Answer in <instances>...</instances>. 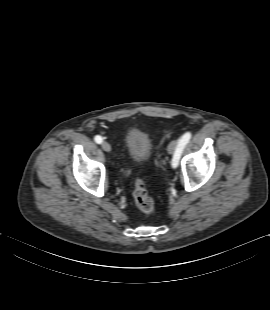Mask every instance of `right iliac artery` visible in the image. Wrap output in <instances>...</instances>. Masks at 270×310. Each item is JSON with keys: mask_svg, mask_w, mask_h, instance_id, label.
<instances>
[{"mask_svg": "<svg viewBox=\"0 0 270 310\" xmlns=\"http://www.w3.org/2000/svg\"><path fill=\"white\" fill-rule=\"evenodd\" d=\"M94 140H95V142L98 143V144L102 143V141H103L102 137L99 136V135L95 136Z\"/></svg>", "mask_w": 270, "mask_h": 310, "instance_id": "1", "label": "right iliac artery"}]
</instances>
